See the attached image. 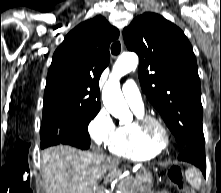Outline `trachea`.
<instances>
[{"mask_svg":"<svg viewBox=\"0 0 221 193\" xmlns=\"http://www.w3.org/2000/svg\"><path fill=\"white\" fill-rule=\"evenodd\" d=\"M121 51V45L119 42H115L111 46V52L113 55H118Z\"/></svg>","mask_w":221,"mask_h":193,"instance_id":"obj_1","label":"trachea"}]
</instances>
